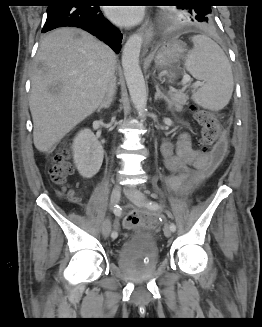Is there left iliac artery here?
Returning a JSON list of instances; mask_svg holds the SVG:
<instances>
[{
  "instance_id": "left-iliac-artery-1",
  "label": "left iliac artery",
  "mask_w": 262,
  "mask_h": 327,
  "mask_svg": "<svg viewBox=\"0 0 262 327\" xmlns=\"http://www.w3.org/2000/svg\"><path fill=\"white\" fill-rule=\"evenodd\" d=\"M147 208L151 209V210H157L160 208L159 204L155 201H148L146 203ZM170 229L172 232H174L176 230V225L174 223L170 224Z\"/></svg>"
}]
</instances>
